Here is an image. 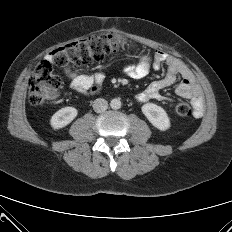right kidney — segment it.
I'll list each match as a JSON object with an SVG mask.
<instances>
[{"label":"right kidney","mask_w":232,"mask_h":232,"mask_svg":"<svg viewBox=\"0 0 232 232\" xmlns=\"http://www.w3.org/2000/svg\"><path fill=\"white\" fill-rule=\"evenodd\" d=\"M78 111L74 107H64L58 110L50 119L53 129H60L71 123L77 116Z\"/></svg>","instance_id":"obj_1"}]
</instances>
